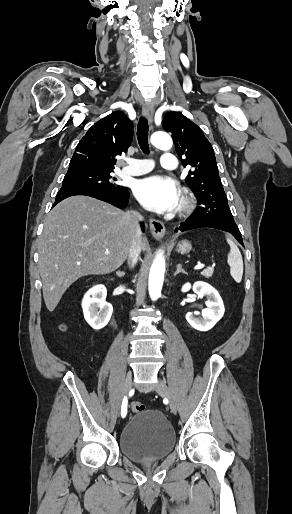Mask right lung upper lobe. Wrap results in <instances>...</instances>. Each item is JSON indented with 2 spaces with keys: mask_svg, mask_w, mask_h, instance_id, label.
Returning <instances> with one entry per match:
<instances>
[{
  "mask_svg": "<svg viewBox=\"0 0 292 514\" xmlns=\"http://www.w3.org/2000/svg\"><path fill=\"white\" fill-rule=\"evenodd\" d=\"M133 138V124L122 111L96 122L78 143L68 172L113 171L116 156L126 152Z\"/></svg>",
  "mask_w": 292,
  "mask_h": 514,
  "instance_id": "1",
  "label": "right lung upper lobe"
}]
</instances>
